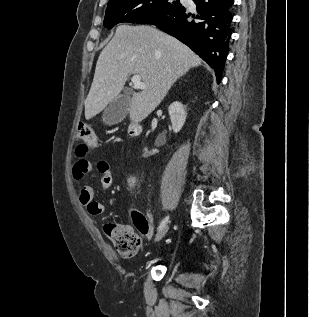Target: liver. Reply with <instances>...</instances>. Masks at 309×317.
<instances>
[{"instance_id": "obj_1", "label": "liver", "mask_w": 309, "mask_h": 317, "mask_svg": "<svg viewBox=\"0 0 309 317\" xmlns=\"http://www.w3.org/2000/svg\"><path fill=\"white\" fill-rule=\"evenodd\" d=\"M201 59L189 47L154 27L120 25L99 55L93 82L85 100L87 120L118 97L128 75H140L145 89L134 93L129 115L144 120L164 99L175 81Z\"/></svg>"}]
</instances>
